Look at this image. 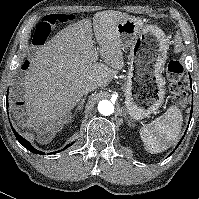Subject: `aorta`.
Listing matches in <instances>:
<instances>
[{"label": "aorta", "mask_w": 199, "mask_h": 199, "mask_svg": "<svg viewBox=\"0 0 199 199\" xmlns=\"http://www.w3.org/2000/svg\"><path fill=\"white\" fill-rule=\"evenodd\" d=\"M98 111L102 115H111L114 112V105L109 100H102L98 104Z\"/></svg>", "instance_id": "1"}]
</instances>
